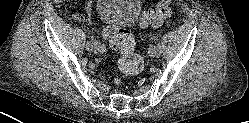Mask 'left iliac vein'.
<instances>
[{
    "instance_id": "left-iliac-vein-1",
    "label": "left iliac vein",
    "mask_w": 249,
    "mask_h": 123,
    "mask_svg": "<svg viewBox=\"0 0 249 123\" xmlns=\"http://www.w3.org/2000/svg\"><path fill=\"white\" fill-rule=\"evenodd\" d=\"M149 54H150L151 57H156L157 56V47L155 45L150 46Z\"/></svg>"
}]
</instances>
